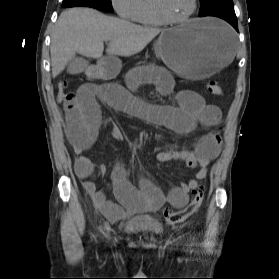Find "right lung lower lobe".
<instances>
[{"mask_svg":"<svg viewBox=\"0 0 279 279\" xmlns=\"http://www.w3.org/2000/svg\"><path fill=\"white\" fill-rule=\"evenodd\" d=\"M63 7H75V6H86V7H92L96 8L98 10H101L102 8L98 6L94 1L92 0H63Z\"/></svg>","mask_w":279,"mask_h":279,"instance_id":"98d812e1","label":"right lung lower lobe"}]
</instances>
